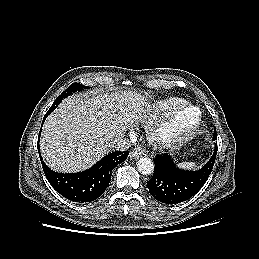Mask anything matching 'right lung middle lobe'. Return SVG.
I'll use <instances>...</instances> for the list:
<instances>
[{
  "label": "right lung middle lobe",
  "mask_w": 259,
  "mask_h": 259,
  "mask_svg": "<svg viewBox=\"0 0 259 259\" xmlns=\"http://www.w3.org/2000/svg\"><path fill=\"white\" fill-rule=\"evenodd\" d=\"M87 88V86L81 85L79 83H72L60 96L57 97V99L54 101L48 112H52L59 105V103L67 96L71 95L76 91H81Z\"/></svg>",
  "instance_id": "dd1d6c3e"
}]
</instances>
